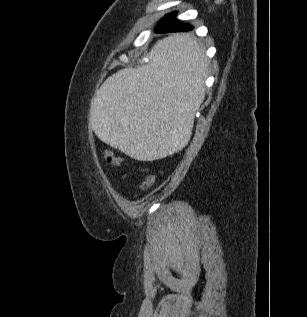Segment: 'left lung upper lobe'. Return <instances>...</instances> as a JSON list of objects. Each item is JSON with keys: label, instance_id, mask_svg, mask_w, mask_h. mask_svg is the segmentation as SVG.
<instances>
[{"label": "left lung upper lobe", "instance_id": "left-lung-upper-lobe-1", "mask_svg": "<svg viewBox=\"0 0 307 317\" xmlns=\"http://www.w3.org/2000/svg\"><path fill=\"white\" fill-rule=\"evenodd\" d=\"M176 12L167 14L161 20H166L171 23L172 27H178L184 25L181 21L175 18Z\"/></svg>", "mask_w": 307, "mask_h": 317}]
</instances>
